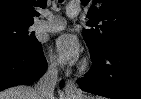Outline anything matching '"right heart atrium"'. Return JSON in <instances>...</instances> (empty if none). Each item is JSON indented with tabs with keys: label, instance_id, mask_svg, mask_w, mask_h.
<instances>
[{
	"label": "right heart atrium",
	"instance_id": "1",
	"mask_svg": "<svg viewBox=\"0 0 141 99\" xmlns=\"http://www.w3.org/2000/svg\"><path fill=\"white\" fill-rule=\"evenodd\" d=\"M47 70L51 73H55L58 70V62L57 60L52 56L48 55L46 60Z\"/></svg>",
	"mask_w": 141,
	"mask_h": 99
}]
</instances>
